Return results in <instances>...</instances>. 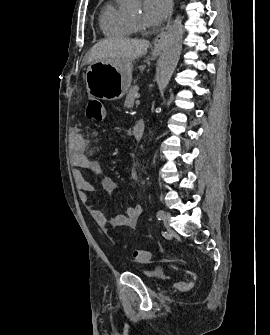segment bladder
<instances>
[{
	"label": "bladder",
	"instance_id": "bladder-1",
	"mask_svg": "<svg viewBox=\"0 0 270 335\" xmlns=\"http://www.w3.org/2000/svg\"><path fill=\"white\" fill-rule=\"evenodd\" d=\"M133 272L137 274L139 277L144 278L148 281H151L152 283H157L159 277H162L163 274H156L151 272H143L141 270L133 269Z\"/></svg>",
	"mask_w": 270,
	"mask_h": 335
}]
</instances>
